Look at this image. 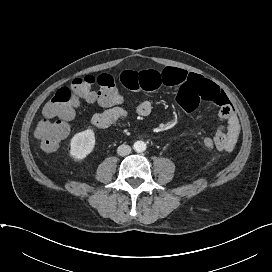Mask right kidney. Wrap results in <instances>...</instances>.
<instances>
[{"label": "right kidney", "instance_id": "ca27d5eb", "mask_svg": "<svg viewBox=\"0 0 272 272\" xmlns=\"http://www.w3.org/2000/svg\"><path fill=\"white\" fill-rule=\"evenodd\" d=\"M70 155L75 160H83L92 151L95 145V134L92 129H87L74 135L71 139Z\"/></svg>", "mask_w": 272, "mask_h": 272}]
</instances>
